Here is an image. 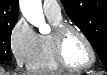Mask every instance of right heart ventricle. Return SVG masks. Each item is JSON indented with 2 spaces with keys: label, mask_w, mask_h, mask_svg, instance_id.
Instances as JSON below:
<instances>
[{
  "label": "right heart ventricle",
  "mask_w": 107,
  "mask_h": 75,
  "mask_svg": "<svg viewBox=\"0 0 107 75\" xmlns=\"http://www.w3.org/2000/svg\"><path fill=\"white\" fill-rule=\"evenodd\" d=\"M47 17L54 28L62 24V18ZM27 66L29 70L34 72H54L60 70L53 55L52 34L37 35L35 49Z\"/></svg>",
  "instance_id": "obj_1"
}]
</instances>
